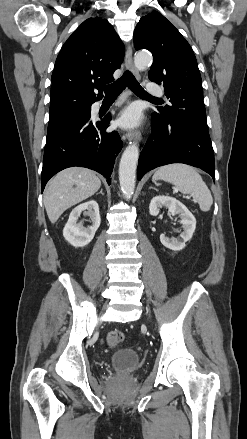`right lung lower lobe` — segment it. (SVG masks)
Masks as SVG:
<instances>
[{
	"label": "right lung lower lobe",
	"mask_w": 247,
	"mask_h": 439,
	"mask_svg": "<svg viewBox=\"0 0 247 439\" xmlns=\"http://www.w3.org/2000/svg\"><path fill=\"white\" fill-rule=\"evenodd\" d=\"M111 115L91 120V106L86 112L48 127L42 168V192L57 172L73 166L95 170L109 179L115 156L122 149L116 131H106Z\"/></svg>",
	"instance_id": "98d812e1"
}]
</instances>
